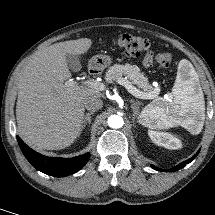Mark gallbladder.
<instances>
[{
	"mask_svg": "<svg viewBox=\"0 0 215 215\" xmlns=\"http://www.w3.org/2000/svg\"><path fill=\"white\" fill-rule=\"evenodd\" d=\"M67 64L73 71H79L81 69L80 57L72 54H66Z\"/></svg>",
	"mask_w": 215,
	"mask_h": 215,
	"instance_id": "obj_1",
	"label": "gallbladder"
}]
</instances>
